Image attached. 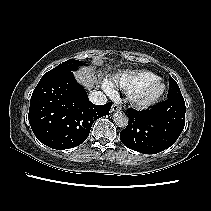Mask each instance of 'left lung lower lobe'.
<instances>
[{
    "label": "left lung lower lobe",
    "instance_id": "1",
    "mask_svg": "<svg viewBox=\"0 0 211 211\" xmlns=\"http://www.w3.org/2000/svg\"><path fill=\"white\" fill-rule=\"evenodd\" d=\"M183 96L167 98L144 111H127L129 122L120 132L122 143L144 154H156L172 146L185 126Z\"/></svg>",
    "mask_w": 211,
    "mask_h": 211
}]
</instances>
